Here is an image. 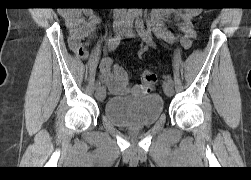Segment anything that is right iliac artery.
<instances>
[{
  "label": "right iliac artery",
  "mask_w": 251,
  "mask_h": 180,
  "mask_svg": "<svg viewBox=\"0 0 251 180\" xmlns=\"http://www.w3.org/2000/svg\"><path fill=\"white\" fill-rule=\"evenodd\" d=\"M135 17H136L135 12H129L126 16L125 27H128V28L132 27ZM121 39H122V34L121 35L119 34L110 38L107 42L108 50L114 51L118 47ZM100 85H101L100 82L97 81L95 84V88L97 89L98 87H100Z\"/></svg>",
  "instance_id": "obj_1"
}]
</instances>
